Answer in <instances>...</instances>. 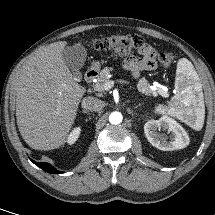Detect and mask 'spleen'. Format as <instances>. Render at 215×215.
<instances>
[{"label":"spleen","instance_id":"obj_1","mask_svg":"<svg viewBox=\"0 0 215 215\" xmlns=\"http://www.w3.org/2000/svg\"><path fill=\"white\" fill-rule=\"evenodd\" d=\"M197 73L187 59H180L175 80V95L167 108L157 110L176 117L194 129H201L204 122L205 107L202 94L196 89Z\"/></svg>","mask_w":215,"mask_h":215}]
</instances>
